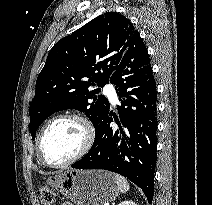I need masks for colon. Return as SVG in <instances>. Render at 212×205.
I'll list each match as a JSON object with an SVG mask.
<instances>
[{"label":"colon","mask_w":212,"mask_h":205,"mask_svg":"<svg viewBox=\"0 0 212 205\" xmlns=\"http://www.w3.org/2000/svg\"><path fill=\"white\" fill-rule=\"evenodd\" d=\"M56 200V193L51 186H44L40 191L42 205H52Z\"/></svg>","instance_id":"1"}]
</instances>
